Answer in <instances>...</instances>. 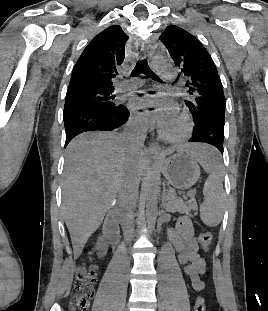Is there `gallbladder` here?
Segmentation results:
<instances>
[{"label":"gallbladder","instance_id":"obj_1","mask_svg":"<svg viewBox=\"0 0 268 311\" xmlns=\"http://www.w3.org/2000/svg\"><path fill=\"white\" fill-rule=\"evenodd\" d=\"M109 203L111 206H117L119 202L117 199H111Z\"/></svg>","mask_w":268,"mask_h":311}]
</instances>
